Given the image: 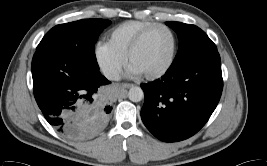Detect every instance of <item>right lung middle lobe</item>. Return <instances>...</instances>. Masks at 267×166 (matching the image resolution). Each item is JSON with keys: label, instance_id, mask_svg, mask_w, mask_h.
Returning <instances> with one entry per match:
<instances>
[{"label": "right lung middle lobe", "instance_id": "1", "mask_svg": "<svg viewBox=\"0 0 267 166\" xmlns=\"http://www.w3.org/2000/svg\"><path fill=\"white\" fill-rule=\"evenodd\" d=\"M110 23L104 19H83L57 25L43 37L36 51L54 49L99 69L94 46L99 34Z\"/></svg>", "mask_w": 267, "mask_h": 166}]
</instances>
